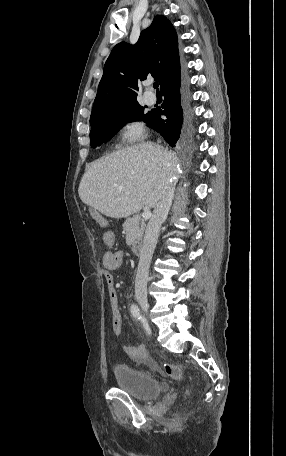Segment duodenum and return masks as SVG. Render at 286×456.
Listing matches in <instances>:
<instances>
[{
  "mask_svg": "<svg viewBox=\"0 0 286 456\" xmlns=\"http://www.w3.org/2000/svg\"><path fill=\"white\" fill-rule=\"evenodd\" d=\"M133 252L136 254V255H140L142 253V250H143V244L142 242H136L133 244Z\"/></svg>",
  "mask_w": 286,
  "mask_h": 456,
  "instance_id": "obj_1",
  "label": "duodenum"
}]
</instances>
